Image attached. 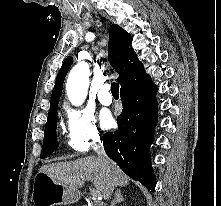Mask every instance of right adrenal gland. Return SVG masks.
Wrapping results in <instances>:
<instances>
[{"mask_svg":"<svg viewBox=\"0 0 221 206\" xmlns=\"http://www.w3.org/2000/svg\"><path fill=\"white\" fill-rule=\"evenodd\" d=\"M123 201H124V197H123V195L121 194V191L118 190V191L116 192V194H115V199L113 200L111 206H115L116 204L121 203V202H123Z\"/></svg>","mask_w":221,"mask_h":206,"instance_id":"right-adrenal-gland-1","label":"right adrenal gland"}]
</instances>
